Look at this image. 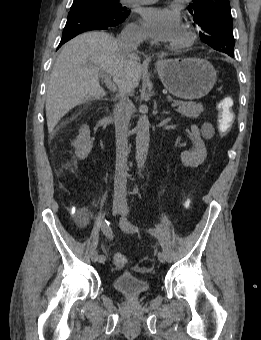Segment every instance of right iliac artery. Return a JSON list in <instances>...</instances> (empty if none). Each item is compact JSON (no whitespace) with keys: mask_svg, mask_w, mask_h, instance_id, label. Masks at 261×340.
Here are the masks:
<instances>
[{"mask_svg":"<svg viewBox=\"0 0 261 340\" xmlns=\"http://www.w3.org/2000/svg\"><path fill=\"white\" fill-rule=\"evenodd\" d=\"M100 227H101V230L103 232V234L110 240L113 239V232H112V229H111V226H110V223L105 219L103 221H101L100 223ZM107 261V258L104 254H100L98 256V262L101 263V264H105Z\"/></svg>","mask_w":261,"mask_h":340,"instance_id":"right-iliac-artery-1","label":"right iliac artery"}]
</instances>
